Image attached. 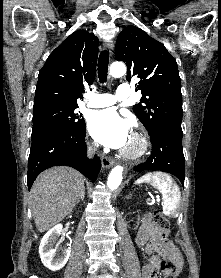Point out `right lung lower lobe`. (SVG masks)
<instances>
[{
	"label": "right lung lower lobe",
	"instance_id": "1",
	"mask_svg": "<svg viewBox=\"0 0 221 278\" xmlns=\"http://www.w3.org/2000/svg\"><path fill=\"white\" fill-rule=\"evenodd\" d=\"M85 125L76 130H53L32 139L28 159L27 185L43 170L57 165L73 167L95 181L101 168L98 157H86Z\"/></svg>",
	"mask_w": 221,
	"mask_h": 278
}]
</instances>
